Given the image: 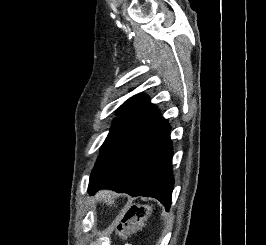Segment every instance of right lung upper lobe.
I'll return each instance as SVG.
<instances>
[{
    "label": "right lung upper lobe",
    "mask_w": 266,
    "mask_h": 245,
    "mask_svg": "<svg viewBox=\"0 0 266 245\" xmlns=\"http://www.w3.org/2000/svg\"><path fill=\"white\" fill-rule=\"evenodd\" d=\"M118 120L149 122L160 117V112L144 94L128 99L117 111Z\"/></svg>",
    "instance_id": "right-lung-upper-lobe-1"
}]
</instances>
